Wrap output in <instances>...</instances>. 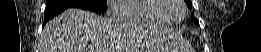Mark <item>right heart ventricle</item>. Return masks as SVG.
<instances>
[{"instance_id":"right-heart-ventricle-1","label":"right heart ventricle","mask_w":261,"mask_h":52,"mask_svg":"<svg viewBox=\"0 0 261 52\" xmlns=\"http://www.w3.org/2000/svg\"><path fill=\"white\" fill-rule=\"evenodd\" d=\"M162 7L161 0H125L115 10L123 22L168 24L160 13Z\"/></svg>"}]
</instances>
